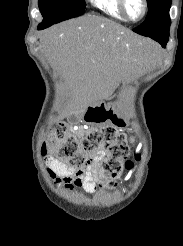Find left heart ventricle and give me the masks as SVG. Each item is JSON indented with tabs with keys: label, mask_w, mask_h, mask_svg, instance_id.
<instances>
[{
	"label": "left heart ventricle",
	"mask_w": 183,
	"mask_h": 246,
	"mask_svg": "<svg viewBox=\"0 0 183 246\" xmlns=\"http://www.w3.org/2000/svg\"><path fill=\"white\" fill-rule=\"evenodd\" d=\"M127 11H128V15L132 19L139 18L142 13V4L140 0H128Z\"/></svg>",
	"instance_id": "obj_1"
}]
</instances>
